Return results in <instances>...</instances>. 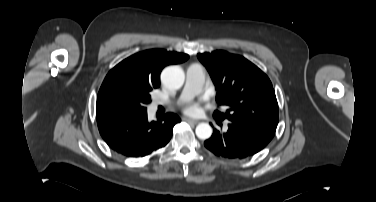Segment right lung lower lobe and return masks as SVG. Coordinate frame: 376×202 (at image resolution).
Wrapping results in <instances>:
<instances>
[{
  "label": "right lung lower lobe",
  "mask_w": 376,
  "mask_h": 202,
  "mask_svg": "<svg viewBox=\"0 0 376 202\" xmlns=\"http://www.w3.org/2000/svg\"><path fill=\"white\" fill-rule=\"evenodd\" d=\"M180 122L174 113L148 122L147 112L113 114L97 120L104 141L116 152L128 157H143L164 147L172 137L173 127Z\"/></svg>",
  "instance_id": "obj_1"
}]
</instances>
